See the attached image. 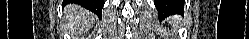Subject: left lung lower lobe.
<instances>
[{"label":"left lung lower lobe","mask_w":249,"mask_h":39,"mask_svg":"<svg viewBox=\"0 0 249 39\" xmlns=\"http://www.w3.org/2000/svg\"><path fill=\"white\" fill-rule=\"evenodd\" d=\"M177 2V6H175ZM179 3V4H178ZM159 17H166L172 13L181 12L184 7L182 0H154Z\"/></svg>","instance_id":"obj_1"}]
</instances>
